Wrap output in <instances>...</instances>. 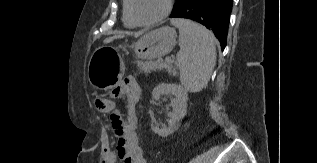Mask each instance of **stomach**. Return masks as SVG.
I'll return each mask as SVG.
<instances>
[{
    "instance_id": "stomach-1",
    "label": "stomach",
    "mask_w": 317,
    "mask_h": 163,
    "mask_svg": "<svg viewBox=\"0 0 317 163\" xmlns=\"http://www.w3.org/2000/svg\"><path fill=\"white\" fill-rule=\"evenodd\" d=\"M177 34L174 28L161 27L142 36L134 45L138 58H160L172 51L176 44ZM107 47H100L92 54L88 64V79L90 83L102 90L110 88L122 76L123 64L118 62L119 72L104 56Z\"/></svg>"
}]
</instances>
